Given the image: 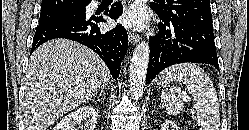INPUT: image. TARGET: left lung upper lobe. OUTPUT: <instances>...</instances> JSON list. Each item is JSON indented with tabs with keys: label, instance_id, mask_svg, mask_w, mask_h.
Listing matches in <instances>:
<instances>
[{
	"label": "left lung upper lobe",
	"instance_id": "1",
	"mask_svg": "<svg viewBox=\"0 0 249 130\" xmlns=\"http://www.w3.org/2000/svg\"><path fill=\"white\" fill-rule=\"evenodd\" d=\"M150 6L166 19L175 18L213 28L209 0H166Z\"/></svg>",
	"mask_w": 249,
	"mask_h": 130
}]
</instances>
